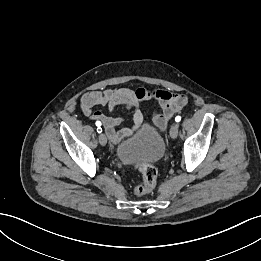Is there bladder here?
<instances>
[{"mask_svg":"<svg viewBox=\"0 0 261 261\" xmlns=\"http://www.w3.org/2000/svg\"><path fill=\"white\" fill-rule=\"evenodd\" d=\"M162 135L151 126H142L131 138L117 145L115 155L125 165L159 161L165 153Z\"/></svg>","mask_w":261,"mask_h":261,"instance_id":"1","label":"bladder"}]
</instances>
